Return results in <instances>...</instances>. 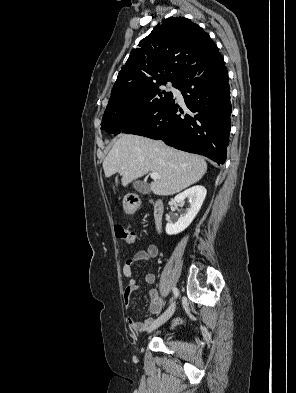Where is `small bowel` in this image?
Here are the masks:
<instances>
[{"label":"small bowel","instance_id":"1","mask_svg":"<svg viewBox=\"0 0 296 393\" xmlns=\"http://www.w3.org/2000/svg\"><path fill=\"white\" fill-rule=\"evenodd\" d=\"M159 255V248L152 244L147 246L143 250H139L132 257L128 258L122 267L123 274L129 279L128 285L124 291L123 301L126 309L131 307L133 295L142 289V286L138 284L137 280L133 276V265L141 261L154 260ZM156 276L154 273H147L144 277L146 285H153L155 283ZM150 304L149 311L153 315H158L164 305V299L160 296L156 289H151L149 292ZM127 323L130 329L135 332H144L149 330L153 320L151 318H145L143 320H136L135 318L129 316L127 318ZM181 320H176L175 325L180 324Z\"/></svg>","mask_w":296,"mask_h":393}]
</instances>
